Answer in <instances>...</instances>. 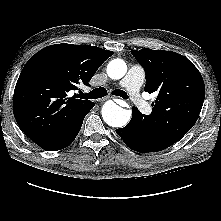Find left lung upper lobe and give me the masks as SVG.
<instances>
[{
  "label": "left lung upper lobe",
  "mask_w": 221,
  "mask_h": 221,
  "mask_svg": "<svg viewBox=\"0 0 221 221\" xmlns=\"http://www.w3.org/2000/svg\"><path fill=\"white\" fill-rule=\"evenodd\" d=\"M132 55L146 73V92H157L150 115L142 114L139 126L155 147L166 149L196 123L205 98L198 69L184 56L169 51L141 49Z\"/></svg>",
  "instance_id": "5c2ea615"
}]
</instances>
